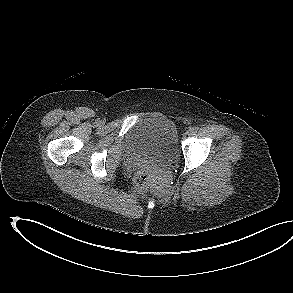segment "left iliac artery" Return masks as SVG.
<instances>
[{
  "label": "left iliac artery",
  "instance_id": "1",
  "mask_svg": "<svg viewBox=\"0 0 293 293\" xmlns=\"http://www.w3.org/2000/svg\"><path fill=\"white\" fill-rule=\"evenodd\" d=\"M192 129H193L194 132H197L199 130V127L198 126H194Z\"/></svg>",
  "mask_w": 293,
  "mask_h": 293
}]
</instances>
